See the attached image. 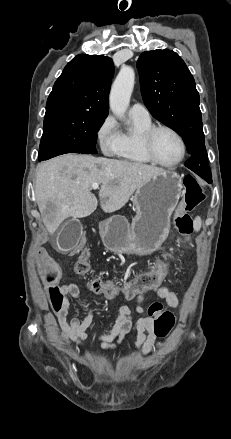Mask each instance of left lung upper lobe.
Masks as SVG:
<instances>
[{
    "instance_id": "obj_1",
    "label": "left lung upper lobe",
    "mask_w": 231,
    "mask_h": 439,
    "mask_svg": "<svg viewBox=\"0 0 231 439\" xmlns=\"http://www.w3.org/2000/svg\"><path fill=\"white\" fill-rule=\"evenodd\" d=\"M137 68L146 107L154 118L182 136L191 154L185 166L210 183L199 93L186 64L174 51L157 49L143 52Z\"/></svg>"
}]
</instances>
